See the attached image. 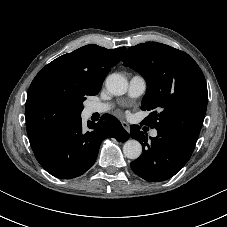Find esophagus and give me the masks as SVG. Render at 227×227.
<instances>
[{"instance_id":"obj_1","label":"esophagus","mask_w":227,"mask_h":227,"mask_svg":"<svg viewBox=\"0 0 227 227\" xmlns=\"http://www.w3.org/2000/svg\"><path fill=\"white\" fill-rule=\"evenodd\" d=\"M121 124H122L123 128L129 133L130 132L129 124L125 121H121Z\"/></svg>"}]
</instances>
